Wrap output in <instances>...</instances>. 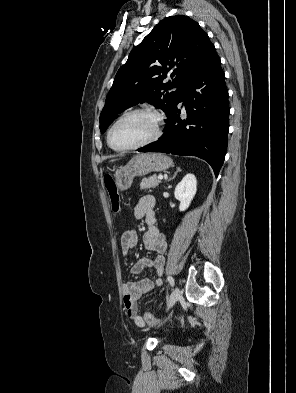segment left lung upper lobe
<instances>
[{"label": "left lung upper lobe", "instance_id": "5c2ea615", "mask_svg": "<svg viewBox=\"0 0 296 393\" xmlns=\"http://www.w3.org/2000/svg\"><path fill=\"white\" fill-rule=\"evenodd\" d=\"M214 50L196 21L184 15L165 18L118 70L100 115V131L123 110L146 101L169 118L187 83ZM167 74L172 80H166Z\"/></svg>", "mask_w": 296, "mask_h": 393}]
</instances>
